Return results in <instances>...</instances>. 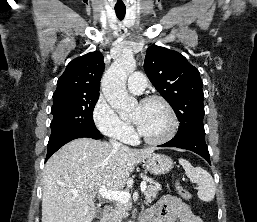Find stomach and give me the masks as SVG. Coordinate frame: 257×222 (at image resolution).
I'll return each instance as SVG.
<instances>
[{"mask_svg":"<svg viewBox=\"0 0 257 222\" xmlns=\"http://www.w3.org/2000/svg\"><path fill=\"white\" fill-rule=\"evenodd\" d=\"M147 170L154 175H163L173 168V161L163 154H153L143 161Z\"/></svg>","mask_w":257,"mask_h":222,"instance_id":"stomach-1","label":"stomach"}]
</instances>
